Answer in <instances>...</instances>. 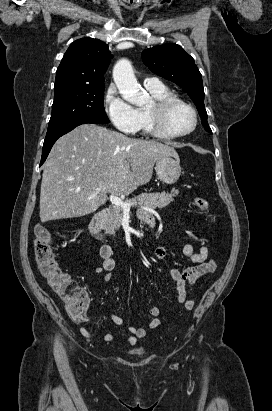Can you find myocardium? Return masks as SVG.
I'll list each match as a JSON object with an SVG mask.
<instances>
[{"label":"myocardium","mask_w":272,"mask_h":411,"mask_svg":"<svg viewBox=\"0 0 272 411\" xmlns=\"http://www.w3.org/2000/svg\"><path fill=\"white\" fill-rule=\"evenodd\" d=\"M181 105L186 107L192 114L193 122L191 127L184 132H171L166 126V120L170 110ZM147 115L151 127V132L165 140H174L183 138L191 134L197 127L198 124V114L195 108L187 101L178 97H168L160 100H155L154 103L147 109Z\"/></svg>","instance_id":"myocardium-1"}]
</instances>
